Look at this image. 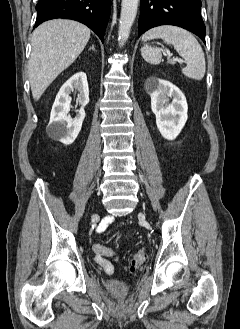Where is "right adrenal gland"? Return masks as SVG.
I'll use <instances>...</instances> for the list:
<instances>
[{
    "instance_id": "right-adrenal-gland-1",
    "label": "right adrenal gland",
    "mask_w": 240,
    "mask_h": 329,
    "mask_svg": "<svg viewBox=\"0 0 240 329\" xmlns=\"http://www.w3.org/2000/svg\"><path fill=\"white\" fill-rule=\"evenodd\" d=\"M93 50V51H95V47H94V45H92V47H90V50Z\"/></svg>"
}]
</instances>
